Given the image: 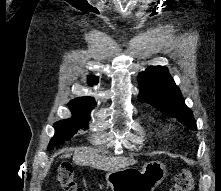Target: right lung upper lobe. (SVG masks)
<instances>
[{
	"instance_id": "right-lung-upper-lobe-1",
	"label": "right lung upper lobe",
	"mask_w": 221,
	"mask_h": 191,
	"mask_svg": "<svg viewBox=\"0 0 221 191\" xmlns=\"http://www.w3.org/2000/svg\"><path fill=\"white\" fill-rule=\"evenodd\" d=\"M97 82H98V78L96 77L88 78V83L90 85H93ZM94 105H95V100L92 97L76 98L69 103L70 110L74 112L90 113V111L93 110Z\"/></svg>"
}]
</instances>
